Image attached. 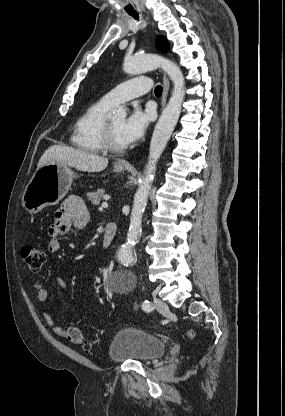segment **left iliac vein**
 <instances>
[{"instance_id":"obj_1","label":"left iliac vein","mask_w":285,"mask_h":416,"mask_svg":"<svg viewBox=\"0 0 285 416\" xmlns=\"http://www.w3.org/2000/svg\"><path fill=\"white\" fill-rule=\"evenodd\" d=\"M154 307L158 311L163 312V313H166L168 311L167 304L163 300H161L157 297L154 298Z\"/></svg>"}]
</instances>
